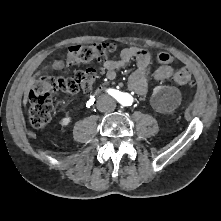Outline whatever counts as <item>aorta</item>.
Instances as JSON below:
<instances>
[{
    "label": "aorta",
    "instance_id": "obj_1",
    "mask_svg": "<svg viewBox=\"0 0 221 221\" xmlns=\"http://www.w3.org/2000/svg\"><path fill=\"white\" fill-rule=\"evenodd\" d=\"M133 102V98L131 95L127 93H123L120 97V103L124 106H130Z\"/></svg>",
    "mask_w": 221,
    "mask_h": 221
}]
</instances>
